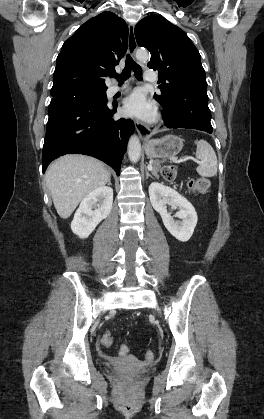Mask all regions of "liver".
Segmentation results:
<instances>
[{"instance_id": "6515ba94", "label": "liver", "mask_w": 264, "mask_h": 419, "mask_svg": "<svg viewBox=\"0 0 264 419\" xmlns=\"http://www.w3.org/2000/svg\"><path fill=\"white\" fill-rule=\"evenodd\" d=\"M45 178L57 213L66 219L89 193L107 184L110 172L95 158L66 155L51 163Z\"/></svg>"}]
</instances>
